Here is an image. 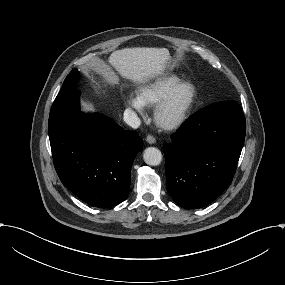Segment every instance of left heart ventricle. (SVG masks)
Wrapping results in <instances>:
<instances>
[{
    "mask_svg": "<svg viewBox=\"0 0 285 285\" xmlns=\"http://www.w3.org/2000/svg\"><path fill=\"white\" fill-rule=\"evenodd\" d=\"M191 97V89H182L175 97L170 108L164 113L162 120L167 123L177 118L187 106Z\"/></svg>",
    "mask_w": 285,
    "mask_h": 285,
    "instance_id": "obj_1",
    "label": "left heart ventricle"
}]
</instances>
